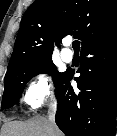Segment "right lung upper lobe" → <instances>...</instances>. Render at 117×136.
Here are the masks:
<instances>
[{
  "mask_svg": "<svg viewBox=\"0 0 117 136\" xmlns=\"http://www.w3.org/2000/svg\"><path fill=\"white\" fill-rule=\"evenodd\" d=\"M117 26V0H35L22 17L9 65L52 57L57 43L73 29L82 46Z\"/></svg>",
  "mask_w": 117,
  "mask_h": 136,
  "instance_id": "1",
  "label": "right lung upper lobe"
}]
</instances>
